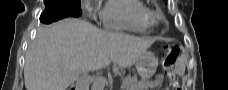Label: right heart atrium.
I'll use <instances>...</instances> for the list:
<instances>
[{
	"mask_svg": "<svg viewBox=\"0 0 228 90\" xmlns=\"http://www.w3.org/2000/svg\"><path fill=\"white\" fill-rule=\"evenodd\" d=\"M92 3H93V2H92V1H89V0L84 1V4H85V5H91ZM87 13H88V15H89L90 17L93 16V15L91 14L90 10H87Z\"/></svg>",
	"mask_w": 228,
	"mask_h": 90,
	"instance_id": "obj_1",
	"label": "right heart atrium"
}]
</instances>
